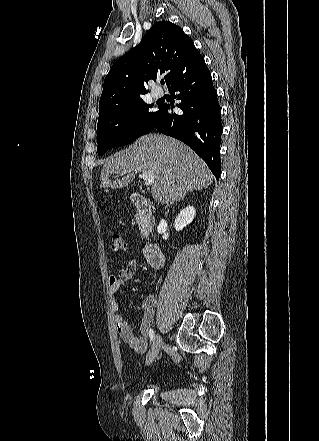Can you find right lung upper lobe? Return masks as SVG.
<instances>
[{
  "label": "right lung upper lobe",
  "instance_id": "obj_1",
  "mask_svg": "<svg viewBox=\"0 0 319 441\" xmlns=\"http://www.w3.org/2000/svg\"><path fill=\"white\" fill-rule=\"evenodd\" d=\"M204 58L183 30L169 21L154 24L141 43L119 58L105 77L99 111L141 99L149 80L165 75L168 88Z\"/></svg>",
  "mask_w": 319,
  "mask_h": 441
}]
</instances>
